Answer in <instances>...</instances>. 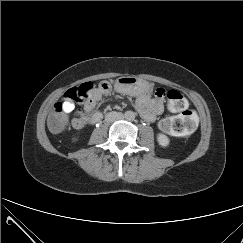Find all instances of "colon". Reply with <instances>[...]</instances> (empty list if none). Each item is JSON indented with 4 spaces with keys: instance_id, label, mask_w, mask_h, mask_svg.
I'll return each instance as SVG.
<instances>
[{
    "instance_id": "1",
    "label": "colon",
    "mask_w": 243,
    "mask_h": 243,
    "mask_svg": "<svg viewBox=\"0 0 243 243\" xmlns=\"http://www.w3.org/2000/svg\"><path fill=\"white\" fill-rule=\"evenodd\" d=\"M104 91L110 89L107 82H101L98 86ZM94 86L91 82H85L78 86L70 88L65 93L64 101L55 105L54 112L48 118V127L53 133H58L64 129L67 124L68 118L64 111V102H78L89 103L93 100ZM156 96L159 98L168 99V109L171 112L178 113L175 116L164 118L160 121V129L168 134L174 136H187L190 135L197 126V116L195 112L189 108V104L184 96L176 91H166L162 88L156 90ZM77 126H82L84 123L83 118L77 117Z\"/></svg>"
}]
</instances>
